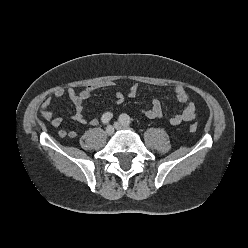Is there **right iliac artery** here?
<instances>
[{
	"label": "right iliac artery",
	"instance_id": "82829eb1",
	"mask_svg": "<svg viewBox=\"0 0 248 248\" xmlns=\"http://www.w3.org/2000/svg\"><path fill=\"white\" fill-rule=\"evenodd\" d=\"M112 116H113V115H112V113H110V112H107V113L103 114V115H102V118H101L102 123H103V124L109 123V121L111 120Z\"/></svg>",
	"mask_w": 248,
	"mask_h": 248
}]
</instances>
